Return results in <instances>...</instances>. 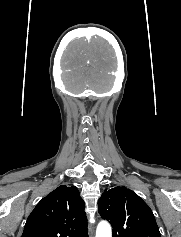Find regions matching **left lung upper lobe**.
Segmentation results:
<instances>
[{
  "instance_id": "5c2ea615",
  "label": "left lung upper lobe",
  "mask_w": 181,
  "mask_h": 237,
  "mask_svg": "<svg viewBox=\"0 0 181 237\" xmlns=\"http://www.w3.org/2000/svg\"><path fill=\"white\" fill-rule=\"evenodd\" d=\"M98 213L113 227V237H161L150 207L124 186L106 189Z\"/></svg>"
}]
</instances>
